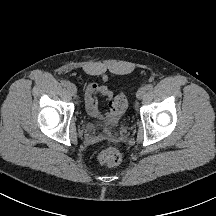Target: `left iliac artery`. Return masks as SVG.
I'll return each instance as SVG.
<instances>
[{"label": "left iliac artery", "mask_w": 216, "mask_h": 216, "mask_svg": "<svg viewBox=\"0 0 216 216\" xmlns=\"http://www.w3.org/2000/svg\"><path fill=\"white\" fill-rule=\"evenodd\" d=\"M146 88H147V90H152V89H153V85H152V84H148V85L146 86Z\"/></svg>", "instance_id": "1"}]
</instances>
